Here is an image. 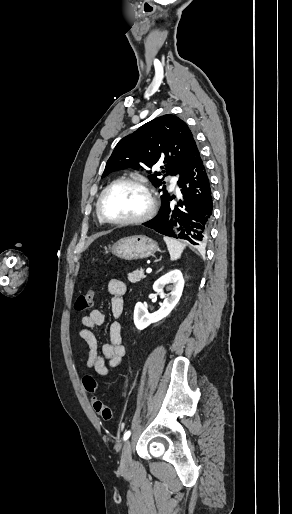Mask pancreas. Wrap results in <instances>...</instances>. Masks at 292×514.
<instances>
[{
    "mask_svg": "<svg viewBox=\"0 0 292 514\" xmlns=\"http://www.w3.org/2000/svg\"><path fill=\"white\" fill-rule=\"evenodd\" d=\"M143 272L144 270H135V272H132V274H128L129 282H132V284H136V282H140L142 278H146Z\"/></svg>",
    "mask_w": 292,
    "mask_h": 514,
    "instance_id": "cf45deb5",
    "label": "pancreas"
}]
</instances>
